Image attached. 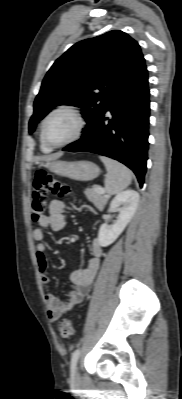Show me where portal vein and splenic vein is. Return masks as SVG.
I'll return each instance as SVG.
<instances>
[{
	"label": "portal vein and splenic vein",
	"mask_w": 182,
	"mask_h": 399,
	"mask_svg": "<svg viewBox=\"0 0 182 399\" xmlns=\"http://www.w3.org/2000/svg\"><path fill=\"white\" fill-rule=\"evenodd\" d=\"M99 190H100L102 193H105V190H104L103 188H99Z\"/></svg>",
	"instance_id": "obj_1"
}]
</instances>
